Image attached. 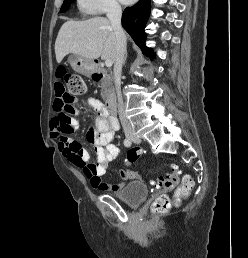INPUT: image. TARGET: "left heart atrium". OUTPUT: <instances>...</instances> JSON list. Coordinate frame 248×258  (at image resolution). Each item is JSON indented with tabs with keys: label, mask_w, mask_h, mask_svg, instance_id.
Masks as SVG:
<instances>
[{
	"label": "left heart atrium",
	"mask_w": 248,
	"mask_h": 258,
	"mask_svg": "<svg viewBox=\"0 0 248 258\" xmlns=\"http://www.w3.org/2000/svg\"><path fill=\"white\" fill-rule=\"evenodd\" d=\"M123 3H125V4H129V3H131V2H133L134 0H121Z\"/></svg>",
	"instance_id": "1"
}]
</instances>
